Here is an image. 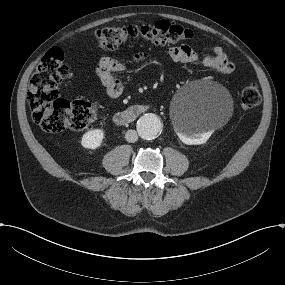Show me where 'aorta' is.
<instances>
[{"mask_svg": "<svg viewBox=\"0 0 285 285\" xmlns=\"http://www.w3.org/2000/svg\"><path fill=\"white\" fill-rule=\"evenodd\" d=\"M137 131L142 139L152 140L161 131V122L155 114H145L137 122Z\"/></svg>", "mask_w": 285, "mask_h": 285, "instance_id": "762f6f07", "label": "aorta"}]
</instances>
